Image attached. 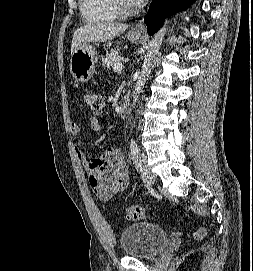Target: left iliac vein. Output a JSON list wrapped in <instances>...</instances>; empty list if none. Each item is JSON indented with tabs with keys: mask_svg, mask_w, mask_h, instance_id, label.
<instances>
[{
	"mask_svg": "<svg viewBox=\"0 0 253 271\" xmlns=\"http://www.w3.org/2000/svg\"><path fill=\"white\" fill-rule=\"evenodd\" d=\"M140 160L142 165V176L148 181L150 184L154 183L156 180V175L151 171V169L147 166L146 156L144 154H140Z\"/></svg>",
	"mask_w": 253,
	"mask_h": 271,
	"instance_id": "4c4485c4",
	"label": "left iliac vein"
}]
</instances>
